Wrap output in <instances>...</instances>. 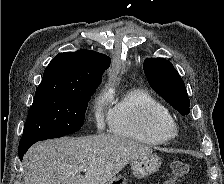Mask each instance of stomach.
<instances>
[{"label": "stomach", "mask_w": 224, "mask_h": 184, "mask_svg": "<svg viewBox=\"0 0 224 184\" xmlns=\"http://www.w3.org/2000/svg\"><path fill=\"white\" fill-rule=\"evenodd\" d=\"M161 165L157 155L150 154L132 162L131 169L135 177L144 178L155 173ZM106 184H127L126 178L122 175L115 176Z\"/></svg>", "instance_id": "obj_1"}]
</instances>
